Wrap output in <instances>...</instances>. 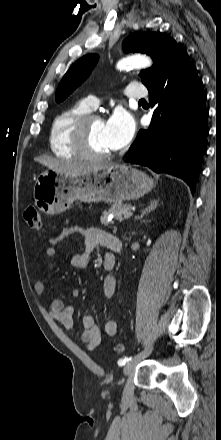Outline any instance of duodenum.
Wrapping results in <instances>:
<instances>
[{
	"mask_svg": "<svg viewBox=\"0 0 221 440\" xmlns=\"http://www.w3.org/2000/svg\"><path fill=\"white\" fill-rule=\"evenodd\" d=\"M109 246H110V249H111L112 251H114V252H120L121 249H122V242H121L120 239H118V238H114V239L110 242ZM114 266H115V259H114V258L105 260V262H104V267H105L107 270H109V271L112 270V269L114 268Z\"/></svg>",
	"mask_w": 221,
	"mask_h": 440,
	"instance_id": "duodenum-1",
	"label": "duodenum"
}]
</instances>
